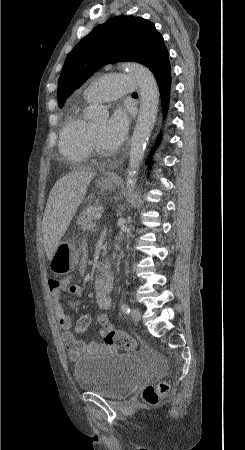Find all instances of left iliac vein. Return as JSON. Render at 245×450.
<instances>
[{
  "label": "left iliac vein",
  "mask_w": 245,
  "mask_h": 450,
  "mask_svg": "<svg viewBox=\"0 0 245 450\" xmlns=\"http://www.w3.org/2000/svg\"><path fill=\"white\" fill-rule=\"evenodd\" d=\"M131 316L135 321H139L141 318V311L138 308H132Z\"/></svg>",
  "instance_id": "1"
}]
</instances>
